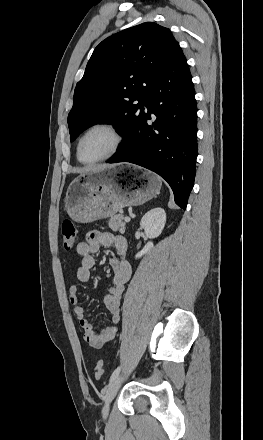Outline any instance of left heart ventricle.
Here are the masks:
<instances>
[{
  "label": "left heart ventricle",
  "mask_w": 263,
  "mask_h": 440,
  "mask_svg": "<svg viewBox=\"0 0 263 440\" xmlns=\"http://www.w3.org/2000/svg\"><path fill=\"white\" fill-rule=\"evenodd\" d=\"M114 137L106 129H94L83 139L80 147V156L85 161L96 160L105 156L113 147Z\"/></svg>",
  "instance_id": "obj_1"
}]
</instances>
